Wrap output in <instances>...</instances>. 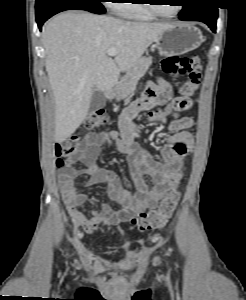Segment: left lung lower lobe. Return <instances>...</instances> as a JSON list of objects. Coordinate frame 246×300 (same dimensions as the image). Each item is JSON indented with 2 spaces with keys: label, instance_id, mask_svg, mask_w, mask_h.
Here are the masks:
<instances>
[{
  "label": "left lung lower lobe",
  "instance_id": "0a47b994",
  "mask_svg": "<svg viewBox=\"0 0 246 300\" xmlns=\"http://www.w3.org/2000/svg\"><path fill=\"white\" fill-rule=\"evenodd\" d=\"M217 17L218 8L209 0H201L189 10L179 13L180 20L204 22L213 32L216 29Z\"/></svg>",
  "mask_w": 246,
  "mask_h": 300
}]
</instances>
